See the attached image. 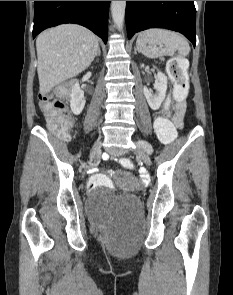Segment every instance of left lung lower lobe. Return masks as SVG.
I'll return each mask as SVG.
<instances>
[{"mask_svg":"<svg viewBox=\"0 0 233 295\" xmlns=\"http://www.w3.org/2000/svg\"><path fill=\"white\" fill-rule=\"evenodd\" d=\"M126 27L130 39L148 28H167L196 45V9L193 1H127Z\"/></svg>","mask_w":233,"mask_h":295,"instance_id":"obj_1","label":"left lung lower lobe"}]
</instances>
